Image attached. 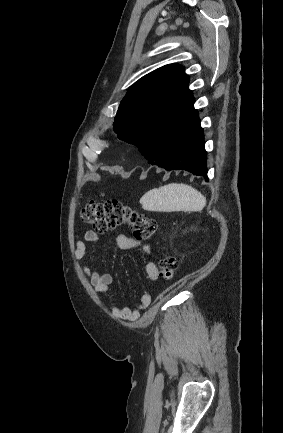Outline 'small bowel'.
<instances>
[{
  "mask_svg": "<svg viewBox=\"0 0 283 433\" xmlns=\"http://www.w3.org/2000/svg\"><path fill=\"white\" fill-rule=\"evenodd\" d=\"M98 234L93 230H88L84 233V238L76 241L75 257L82 259L87 250L86 243L94 244L98 241ZM115 244L119 249L128 250L135 247H140L146 254H150L151 247L148 244H141L125 233H118L115 237ZM82 271L88 277L91 285L98 294H106L110 290L112 277L109 274L100 272L97 268L83 267ZM147 278L150 281H155L158 278V268L155 263L148 262L145 266ZM151 303L150 294H144L138 304L137 309L128 307H119L113 301L111 304V313L114 318L122 321H135L140 317V312L146 309Z\"/></svg>",
  "mask_w": 283,
  "mask_h": 433,
  "instance_id": "1",
  "label": "small bowel"
}]
</instances>
